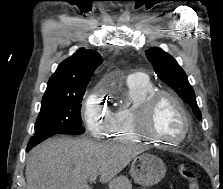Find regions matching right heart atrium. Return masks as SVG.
I'll return each instance as SVG.
<instances>
[{
    "instance_id": "d8ad5b80",
    "label": "right heart atrium",
    "mask_w": 223,
    "mask_h": 189,
    "mask_svg": "<svg viewBox=\"0 0 223 189\" xmlns=\"http://www.w3.org/2000/svg\"><path fill=\"white\" fill-rule=\"evenodd\" d=\"M82 113L85 125L92 136L101 138L107 134L111 112L100 87L94 88L88 94L83 103Z\"/></svg>"
}]
</instances>
